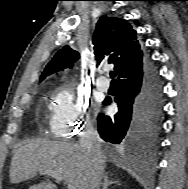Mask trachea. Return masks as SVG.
<instances>
[{"label": "trachea", "mask_w": 188, "mask_h": 189, "mask_svg": "<svg viewBox=\"0 0 188 189\" xmlns=\"http://www.w3.org/2000/svg\"><path fill=\"white\" fill-rule=\"evenodd\" d=\"M115 76H116V74H115V72L114 71H111L110 72V77L112 78V82H115Z\"/></svg>", "instance_id": "3493384b"}]
</instances>
